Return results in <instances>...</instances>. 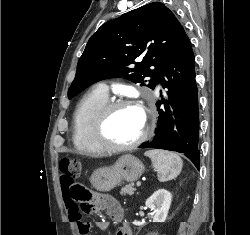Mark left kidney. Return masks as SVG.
Segmentation results:
<instances>
[{
	"mask_svg": "<svg viewBox=\"0 0 250 235\" xmlns=\"http://www.w3.org/2000/svg\"><path fill=\"white\" fill-rule=\"evenodd\" d=\"M171 202L172 194L165 189L157 190L146 200V206L153 211V222H165ZM135 225L140 226L142 223Z\"/></svg>",
	"mask_w": 250,
	"mask_h": 235,
	"instance_id": "left-kidney-1",
	"label": "left kidney"
}]
</instances>
